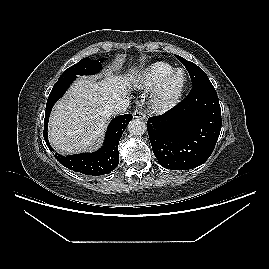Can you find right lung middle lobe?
I'll return each instance as SVG.
<instances>
[{
	"label": "right lung middle lobe",
	"instance_id": "right-lung-middle-lobe-1",
	"mask_svg": "<svg viewBox=\"0 0 269 269\" xmlns=\"http://www.w3.org/2000/svg\"><path fill=\"white\" fill-rule=\"evenodd\" d=\"M105 61V58L99 60H91L90 58H84L80 60L77 64H74L59 77L60 79L66 77H76L77 75H91L96 74L102 70V62Z\"/></svg>",
	"mask_w": 269,
	"mask_h": 269
}]
</instances>
